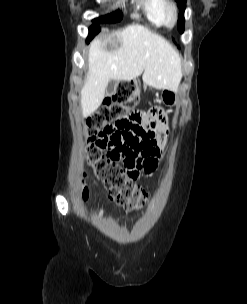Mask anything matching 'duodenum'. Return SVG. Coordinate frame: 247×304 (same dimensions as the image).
Wrapping results in <instances>:
<instances>
[{
    "label": "duodenum",
    "instance_id": "obj_1",
    "mask_svg": "<svg viewBox=\"0 0 247 304\" xmlns=\"http://www.w3.org/2000/svg\"><path fill=\"white\" fill-rule=\"evenodd\" d=\"M130 84H131V86H138V85H136V84H137L136 79L131 80V81H130ZM139 84H140V83H139ZM142 84H143V83H142Z\"/></svg>",
    "mask_w": 247,
    "mask_h": 304
}]
</instances>
